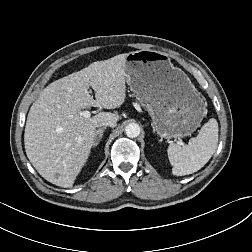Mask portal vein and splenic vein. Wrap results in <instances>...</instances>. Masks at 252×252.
I'll return each instance as SVG.
<instances>
[{
	"label": "portal vein and splenic vein",
	"mask_w": 252,
	"mask_h": 252,
	"mask_svg": "<svg viewBox=\"0 0 252 252\" xmlns=\"http://www.w3.org/2000/svg\"><path fill=\"white\" fill-rule=\"evenodd\" d=\"M78 114L84 118H90L91 116V112L88 110L85 111H79Z\"/></svg>",
	"instance_id": "portal-vein-and-splenic-vein-1"
}]
</instances>
